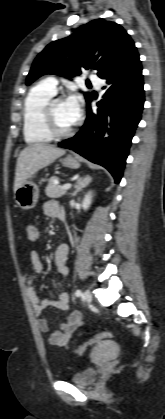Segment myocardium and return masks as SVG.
<instances>
[{
    "label": "myocardium",
    "instance_id": "myocardium-1",
    "mask_svg": "<svg viewBox=\"0 0 165 419\" xmlns=\"http://www.w3.org/2000/svg\"><path fill=\"white\" fill-rule=\"evenodd\" d=\"M60 100L61 98L52 97L50 100L46 102L43 109V119L45 127L48 133L53 138H66L68 136H71L77 128V124H74L71 128L67 130H61L58 128L54 116V104Z\"/></svg>",
    "mask_w": 165,
    "mask_h": 419
}]
</instances>
